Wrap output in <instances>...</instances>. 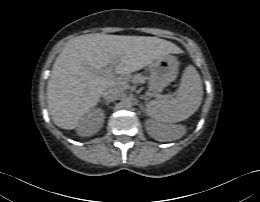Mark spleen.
Listing matches in <instances>:
<instances>
[{
	"label": "spleen",
	"instance_id": "3e777b00",
	"mask_svg": "<svg viewBox=\"0 0 260 202\" xmlns=\"http://www.w3.org/2000/svg\"><path fill=\"white\" fill-rule=\"evenodd\" d=\"M203 87L200 75L194 66L185 68L177 96L171 100H152L147 104V114L157 122L176 123L189 118L200 106ZM181 137L178 132L172 140Z\"/></svg>",
	"mask_w": 260,
	"mask_h": 202
}]
</instances>
